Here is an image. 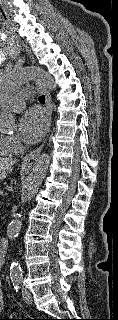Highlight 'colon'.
I'll return each instance as SVG.
<instances>
[{
    "instance_id": "1",
    "label": "colon",
    "mask_w": 118,
    "mask_h": 320,
    "mask_svg": "<svg viewBox=\"0 0 118 320\" xmlns=\"http://www.w3.org/2000/svg\"><path fill=\"white\" fill-rule=\"evenodd\" d=\"M0 320H10V319H2V318H0ZM26 320H40V319H26Z\"/></svg>"
}]
</instances>
